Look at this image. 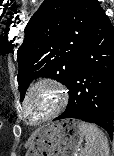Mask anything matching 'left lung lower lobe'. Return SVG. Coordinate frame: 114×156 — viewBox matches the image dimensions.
I'll list each match as a JSON object with an SVG mask.
<instances>
[{"instance_id": "obj_1", "label": "left lung lower lobe", "mask_w": 114, "mask_h": 156, "mask_svg": "<svg viewBox=\"0 0 114 156\" xmlns=\"http://www.w3.org/2000/svg\"><path fill=\"white\" fill-rule=\"evenodd\" d=\"M69 88V103L55 120L95 123L113 135L114 28L100 7L80 49Z\"/></svg>"}]
</instances>
